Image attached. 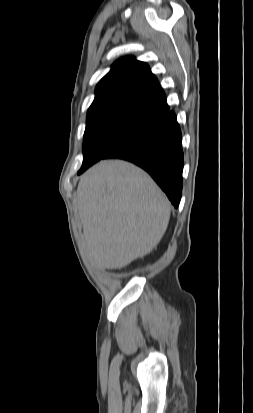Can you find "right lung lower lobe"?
<instances>
[{"mask_svg": "<svg viewBox=\"0 0 253 413\" xmlns=\"http://www.w3.org/2000/svg\"><path fill=\"white\" fill-rule=\"evenodd\" d=\"M108 158L124 159L143 168L166 193L174 207H178L184 157L181 130L173 111L168 112L155 126L103 159Z\"/></svg>", "mask_w": 253, "mask_h": 413, "instance_id": "obj_1", "label": "right lung lower lobe"}]
</instances>
